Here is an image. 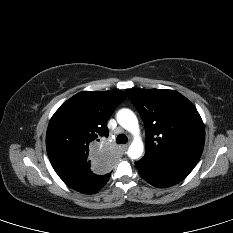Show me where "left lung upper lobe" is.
Here are the masks:
<instances>
[{"mask_svg":"<svg viewBox=\"0 0 233 233\" xmlns=\"http://www.w3.org/2000/svg\"><path fill=\"white\" fill-rule=\"evenodd\" d=\"M146 129L145 155L198 162L205 129L195 106L174 90L127 89Z\"/></svg>","mask_w":233,"mask_h":233,"instance_id":"left-lung-upper-lobe-1","label":"left lung upper lobe"}]
</instances>
